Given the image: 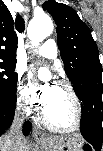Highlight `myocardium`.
<instances>
[{
    "label": "myocardium",
    "mask_w": 103,
    "mask_h": 151,
    "mask_svg": "<svg viewBox=\"0 0 103 151\" xmlns=\"http://www.w3.org/2000/svg\"><path fill=\"white\" fill-rule=\"evenodd\" d=\"M56 86L64 88L68 92V94L70 95L72 102H73L74 111H75L74 122L70 126H65V127L64 126H57V125L53 124L46 117V115L43 111V108L39 112L40 121L42 122V124L46 128H48L52 131H56V132L75 131L80 127V125L82 123V119H83V110H82V104H81L80 98H79L78 94L76 93L75 89L73 88V86L71 84H69L68 82H66L64 80H60L57 82Z\"/></svg>",
    "instance_id": "obj_1"
}]
</instances>
